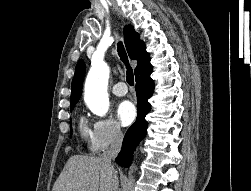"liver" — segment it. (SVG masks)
Returning <instances> with one entry per match:
<instances>
[{"mask_svg":"<svg viewBox=\"0 0 251 191\" xmlns=\"http://www.w3.org/2000/svg\"><path fill=\"white\" fill-rule=\"evenodd\" d=\"M114 167L101 157L71 155L57 177L52 191H117Z\"/></svg>","mask_w":251,"mask_h":191,"instance_id":"liver-1","label":"liver"}]
</instances>
